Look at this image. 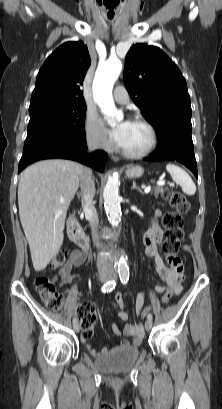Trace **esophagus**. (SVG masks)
<instances>
[{"label":"esophagus","instance_id":"1","mask_svg":"<svg viewBox=\"0 0 222 409\" xmlns=\"http://www.w3.org/2000/svg\"><path fill=\"white\" fill-rule=\"evenodd\" d=\"M111 158H112V160H113L114 162H118V161H119V157L116 156V155H112Z\"/></svg>","mask_w":222,"mask_h":409}]
</instances>
